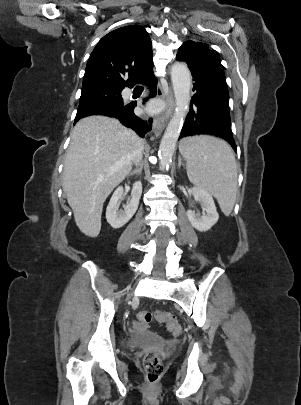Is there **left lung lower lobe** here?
<instances>
[{
  "mask_svg": "<svg viewBox=\"0 0 301 405\" xmlns=\"http://www.w3.org/2000/svg\"><path fill=\"white\" fill-rule=\"evenodd\" d=\"M189 68L195 82L193 87L195 94L191 99L190 111L179 138L213 135L226 140L236 152L237 146L231 130L228 90L201 71Z\"/></svg>",
  "mask_w": 301,
  "mask_h": 405,
  "instance_id": "left-lung-lower-lobe-1",
  "label": "left lung lower lobe"
}]
</instances>
